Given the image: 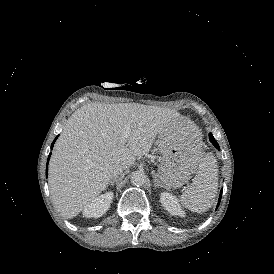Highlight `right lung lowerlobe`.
<instances>
[{"instance_id": "right-lung-lower-lobe-1", "label": "right lung lower lobe", "mask_w": 274, "mask_h": 274, "mask_svg": "<svg viewBox=\"0 0 274 274\" xmlns=\"http://www.w3.org/2000/svg\"><path fill=\"white\" fill-rule=\"evenodd\" d=\"M57 137H58V136H57ZM57 137L54 139V141H53V143H52V145H51V148H53V145H54V143H55ZM50 156H51V153H50V155L48 156V161H49ZM47 164H48V163H47ZM47 172H48V167H46V175H47Z\"/></svg>"}]
</instances>
